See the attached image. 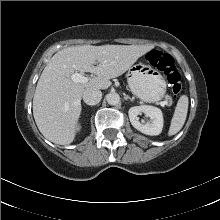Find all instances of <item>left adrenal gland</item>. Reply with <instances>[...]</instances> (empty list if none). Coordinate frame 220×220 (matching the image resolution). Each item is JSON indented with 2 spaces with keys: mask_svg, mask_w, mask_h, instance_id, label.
Instances as JSON below:
<instances>
[{
  "mask_svg": "<svg viewBox=\"0 0 220 220\" xmlns=\"http://www.w3.org/2000/svg\"><path fill=\"white\" fill-rule=\"evenodd\" d=\"M124 100H130L131 102L134 101V98L129 97L128 95H124Z\"/></svg>",
  "mask_w": 220,
  "mask_h": 220,
  "instance_id": "a2214340",
  "label": "left adrenal gland"
}]
</instances>
